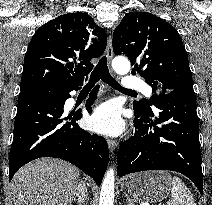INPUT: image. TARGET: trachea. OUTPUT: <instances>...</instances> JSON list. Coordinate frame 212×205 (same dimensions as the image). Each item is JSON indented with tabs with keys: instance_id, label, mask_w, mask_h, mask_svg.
Segmentation results:
<instances>
[{
	"instance_id": "3493384b",
	"label": "trachea",
	"mask_w": 212,
	"mask_h": 205,
	"mask_svg": "<svg viewBox=\"0 0 212 205\" xmlns=\"http://www.w3.org/2000/svg\"><path fill=\"white\" fill-rule=\"evenodd\" d=\"M102 80L112 88L123 92V93H136L135 91L128 90L123 88L109 73L108 66H107V59L103 56L98 64L96 65L95 69L93 70L89 82L85 85V88H92L95 83L99 80Z\"/></svg>"
}]
</instances>
